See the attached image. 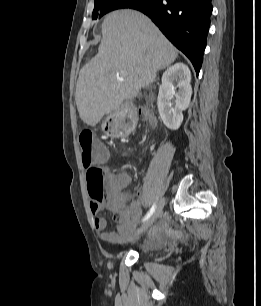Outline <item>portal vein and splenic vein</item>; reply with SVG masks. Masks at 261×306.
I'll return each instance as SVG.
<instances>
[{
  "label": "portal vein and splenic vein",
  "mask_w": 261,
  "mask_h": 306,
  "mask_svg": "<svg viewBox=\"0 0 261 306\" xmlns=\"http://www.w3.org/2000/svg\"><path fill=\"white\" fill-rule=\"evenodd\" d=\"M127 75H128L127 72H121L120 74L117 75V79L120 81H124Z\"/></svg>",
  "instance_id": "obj_1"
}]
</instances>
